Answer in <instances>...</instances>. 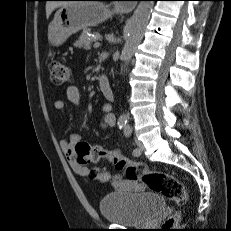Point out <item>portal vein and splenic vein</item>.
Instances as JSON below:
<instances>
[{
  "instance_id": "1",
  "label": "portal vein and splenic vein",
  "mask_w": 231,
  "mask_h": 231,
  "mask_svg": "<svg viewBox=\"0 0 231 231\" xmlns=\"http://www.w3.org/2000/svg\"><path fill=\"white\" fill-rule=\"evenodd\" d=\"M100 45H101V43L97 41V42L94 43V48H99Z\"/></svg>"
}]
</instances>
